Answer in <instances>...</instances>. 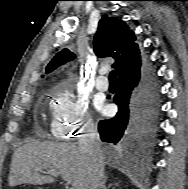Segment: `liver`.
I'll list each match as a JSON object with an SVG mask.
<instances>
[{
	"instance_id": "obj_1",
	"label": "liver",
	"mask_w": 188,
	"mask_h": 189,
	"mask_svg": "<svg viewBox=\"0 0 188 189\" xmlns=\"http://www.w3.org/2000/svg\"><path fill=\"white\" fill-rule=\"evenodd\" d=\"M43 170L56 171L74 189H87L90 162L78 146L37 140L28 141L15 150L8 177L9 185L53 183V177L40 174Z\"/></svg>"
}]
</instances>
